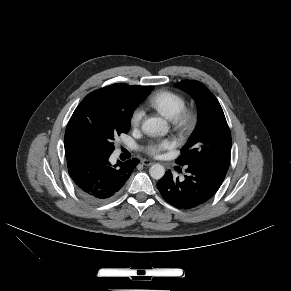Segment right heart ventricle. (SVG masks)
<instances>
[{
  "label": "right heart ventricle",
  "instance_id": "e07e8e85",
  "mask_svg": "<svg viewBox=\"0 0 291 291\" xmlns=\"http://www.w3.org/2000/svg\"><path fill=\"white\" fill-rule=\"evenodd\" d=\"M148 105L167 119L173 120L185 108V99L179 93L160 90L149 97Z\"/></svg>",
  "mask_w": 291,
  "mask_h": 291
}]
</instances>
